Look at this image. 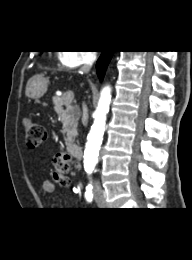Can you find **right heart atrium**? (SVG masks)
Returning a JSON list of instances; mask_svg holds the SVG:
<instances>
[{
	"instance_id": "1",
	"label": "right heart atrium",
	"mask_w": 192,
	"mask_h": 260,
	"mask_svg": "<svg viewBox=\"0 0 192 260\" xmlns=\"http://www.w3.org/2000/svg\"><path fill=\"white\" fill-rule=\"evenodd\" d=\"M92 54L87 51H62L58 55L60 64L68 69L78 68L92 60Z\"/></svg>"
}]
</instances>
